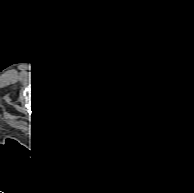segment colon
<instances>
[{"mask_svg": "<svg viewBox=\"0 0 194 193\" xmlns=\"http://www.w3.org/2000/svg\"><path fill=\"white\" fill-rule=\"evenodd\" d=\"M83 121L78 120V123L81 124ZM119 133L115 131H105L93 138L90 139V146L93 149L106 148L115 144L119 140Z\"/></svg>", "mask_w": 194, "mask_h": 193, "instance_id": "colon-1", "label": "colon"}]
</instances>
